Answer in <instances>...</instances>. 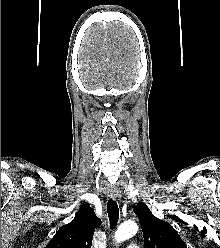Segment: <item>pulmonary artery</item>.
<instances>
[{"instance_id": "1", "label": "pulmonary artery", "mask_w": 220, "mask_h": 248, "mask_svg": "<svg viewBox=\"0 0 220 248\" xmlns=\"http://www.w3.org/2000/svg\"><path fill=\"white\" fill-rule=\"evenodd\" d=\"M127 248H140V247L136 244H131Z\"/></svg>"}]
</instances>
